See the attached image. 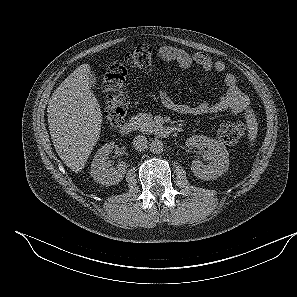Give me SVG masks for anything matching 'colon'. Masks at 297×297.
<instances>
[{"label":"colon","mask_w":297,"mask_h":297,"mask_svg":"<svg viewBox=\"0 0 297 297\" xmlns=\"http://www.w3.org/2000/svg\"><path fill=\"white\" fill-rule=\"evenodd\" d=\"M152 51L140 46L128 52L120 61L112 63L103 77V89L107 93L105 119L109 127L116 128L125 120L127 109L126 81L129 68L149 70L152 67ZM244 121H226L218 128L220 140L226 144L238 142L246 133Z\"/></svg>","instance_id":"5ec220e1"}]
</instances>
